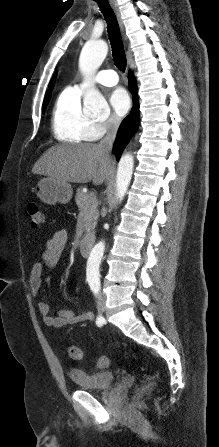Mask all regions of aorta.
Returning a JSON list of instances; mask_svg holds the SVG:
<instances>
[{"label":"aorta","mask_w":219,"mask_h":447,"mask_svg":"<svg viewBox=\"0 0 219 447\" xmlns=\"http://www.w3.org/2000/svg\"><path fill=\"white\" fill-rule=\"evenodd\" d=\"M108 52V45L103 40L88 41L83 46L79 57V68L84 74L95 72L104 61ZM84 109L92 114H100L108 110V104L104 97L95 89L89 90L84 97ZM134 168L132 154H123L120 158L116 176V198L122 201L129 187ZM105 249L104 242L97 243L89 257V263L100 262ZM98 273L92 271L88 274L90 281H95Z\"/></svg>","instance_id":"obj_1"}]
</instances>
